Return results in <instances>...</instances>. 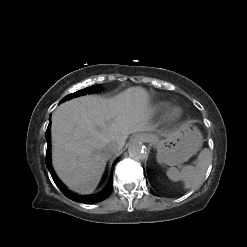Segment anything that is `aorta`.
<instances>
[{"instance_id": "aorta-1", "label": "aorta", "mask_w": 247, "mask_h": 247, "mask_svg": "<svg viewBox=\"0 0 247 247\" xmlns=\"http://www.w3.org/2000/svg\"><path fill=\"white\" fill-rule=\"evenodd\" d=\"M128 151L130 157L134 159H142L145 156L144 145L138 140H134L130 143Z\"/></svg>"}]
</instances>
